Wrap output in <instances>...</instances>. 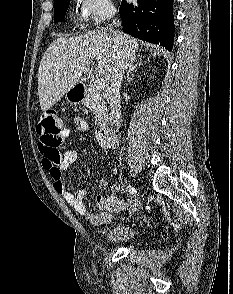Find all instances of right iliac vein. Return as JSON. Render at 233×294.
<instances>
[{
    "instance_id": "right-iliac-vein-1",
    "label": "right iliac vein",
    "mask_w": 233,
    "mask_h": 294,
    "mask_svg": "<svg viewBox=\"0 0 233 294\" xmlns=\"http://www.w3.org/2000/svg\"><path fill=\"white\" fill-rule=\"evenodd\" d=\"M139 204H140V195L137 193V194L135 195V199H134V202H133V205H132V207H131L130 212H131V213H134V212L137 210Z\"/></svg>"
}]
</instances>
